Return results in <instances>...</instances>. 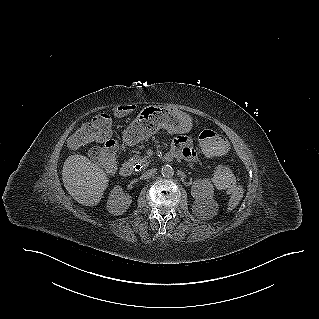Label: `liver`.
Instances as JSON below:
<instances>
[{
  "mask_svg": "<svg viewBox=\"0 0 319 319\" xmlns=\"http://www.w3.org/2000/svg\"><path fill=\"white\" fill-rule=\"evenodd\" d=\"M62 180L73 199L85 206L97 205L109 182L106 173L98 164L78 154L65 160Z\"/></svg>",
  "mask_w": 319,
  "mask_h": 319,
  "instance_id": "1",
  "label": "liver"
}]
</instances>
